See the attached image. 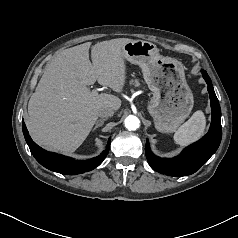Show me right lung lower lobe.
<instances>
[{
  "mask_svg": "<svg viewBox=\"0 0 238 238\" xmlns=\"http://www.w3.org/2000/svg\"><path fill=\"white\" fill-rule=\"evenodd\" d=\"M22 129L25 140L35 159L47 169L61 174L76 175L93 170L102 163L109 152L110 139L108 140L105 151L100 156L85 161L74 160L70 157L48 152L38 146L29 136L24 122L22 124Z\"/></svg>",
  "mask_w": 238,
  "mask_h": 238,
  "instance_id": "1",
  "label": "right lung lower lobe"
}]
</instances>
